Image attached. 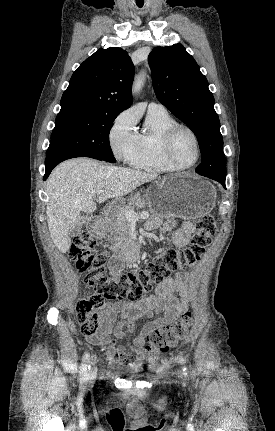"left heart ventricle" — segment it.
Listing matches in <instances>:
<instances>
[{
    "mask_svg": "<svg viewBox=\"0 0 275 431\" xmlns=\"http://www.w3.org/2000/svg\"><path fill=\"white\" fill-rule=\"evenodd\" d=\"M173 156L182 165L191 164L196 157L195 143L185 131L180 132L173 145Z\"/></svg>",
    "mask_w": 275,
    "mask_h": 431,
    "instance_id": "b2bd125f",
    "label": "left heart ventricle"
}]
</instances>
